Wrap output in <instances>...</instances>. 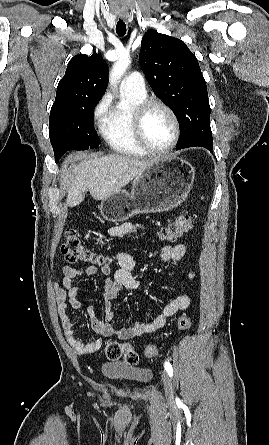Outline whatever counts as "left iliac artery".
<instances>
[{"label": "left iliac artery", "instance_id": "44dca946", "mask_svg": "<svg viewBox=\"0 0 269 445\" xmlns=\"http://www.w3.org/2000/svg\"><path fill=\"white\" fill-rule=\"evenodd\" d=\"M165 370L167 371V373L169 374L170 377L173 376V367L169 362H165L164 364Z\"/></svg>", "mask_w": 269, "mask_h": 445}]
</instances>
